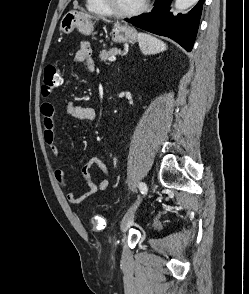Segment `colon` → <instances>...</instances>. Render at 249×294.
I'll return each mask as SVG.
<instances>
[{
	"mask_svg": "<svg viewBox=\"0 0 249 294\" xmlns=\"http://www.w3.org/2000/svg\"><path fill=\"white\" fill-rule=\"evenodd\" d=\"M62 82L61 71L56 63L46 66L44 72V79L42 83V94L48 96L52 91L57 89ZM106 221L100 215L92 216L89 220V227L95 231H101L105 228Z\"/></svg>",
	"mask_w": 249,
	"mask_h": 294,
	"instance_id": "5ec220e1",
	"label": "colon"
}]
</instances>
